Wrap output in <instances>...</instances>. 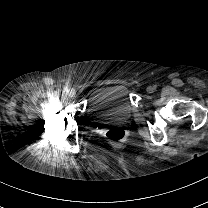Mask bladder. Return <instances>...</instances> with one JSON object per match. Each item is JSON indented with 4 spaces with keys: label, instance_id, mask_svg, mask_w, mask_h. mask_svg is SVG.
I'll list each match as a JSON object with an SVG mask.
<instances>
[{
    "label": "bladder",
    "instance_id": "1",
    "mask_svg": "<svg viewBox=\"0 0 208 208\" xmlns=\"http://www.w3.org/2000/svg\"><path fill=\"white\" fill-rule=\"evenodd\" d=\"M126 86L121 84L100 88L91 105L92 114L127 115V100L124 96Z\"/></svg>",
    "mask_w": 208,
    "mask_h": 208
}]
</instances>
